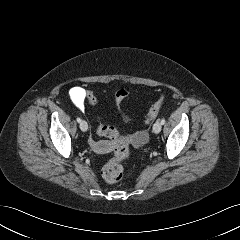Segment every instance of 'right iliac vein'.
I'll return each mask as SVG.
<instances>
[{"instance_id": "1", "label": "right iliac vein", "mask_w": 240, "mask_h": 240, "mask_svg": "<svg viewBox=\"0 0 240 240\" xmlns=\"http://www.w3.org/2000/svg\"><path fill=\"white\" fill-rule=\"evenodd\" d=\"M80 129H81L83 132L87 131V129H88V124L86 123V121H81V122H80Z\"/></svg>"}]
</instances>
